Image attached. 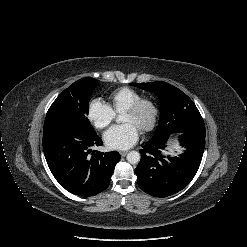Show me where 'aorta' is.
Segmentation results:
<instances>
[{
    "instance_id": "762f6f07",
    "label": "aorta",
    "mask_w": 247,
    "mask_h": 247,
    "mask_svg": "<svg viewBox=\"0 0 247 247\" xmlns=\"http://www.w3.org/2000/svg\"><path fill=\"white\" fill-rule=\"evenodd\" d=\"M120 116L116 119L117 122H120ZM127 161L130 164H137L140 161V153L137 151H131L127 154Z\"/></svg>"
}]
</instances>
